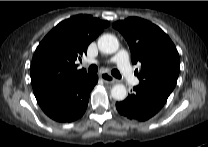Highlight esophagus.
Returning <instances> with one entry per match:
<instances>
[{"label":"esophagus","mask_w":208,"mask_h":147,"mask_svg":"<svg viewBox=\"0 0 208 147\" xmlns=\"http://www.w3.org/2000/svg\"><path fill=\"white\" fill-rule=\"evenodd\" d=\"M100 78L107 84H114L117 80L108 73H101Z\"/></svg>","instance_id":"1"}]
</instances>
